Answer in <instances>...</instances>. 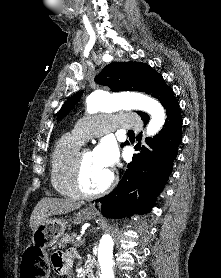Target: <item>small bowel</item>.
I'll return each instance as SVG.
<instances>
[{"instance_id":"1","label":"small bowel","mask_w":221,"mask_h":278,"mask_svg":"<svg viewBox=\"0 0 221 278\" xmlns=\"http://www.w3.org/2000/svg\"><path fill=\"white\" fill-rule=\"evenodd\" d=\"M76 258L77 252L75 250L54 253L51 257V263L57 276L72 278V266Z\"/></svg>"}]
</instances>
